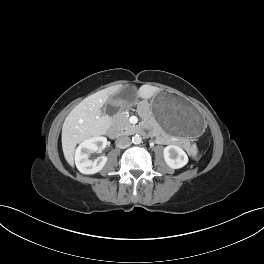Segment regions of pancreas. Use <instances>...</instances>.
<instances>
[{"label":"pancreas","instance_id":"pancreas-1","mask_svg":"<svg viewBox=\"0 0 264 264\" xmlns=\"http://www.w3.org/2000/svg\"><path fill=\"white\" fill-rule=\"evenodd\" d=\"M114 125L121 132L130 133L135 127L130 124L126 111L117 113L114 116Z\"/></svg>","mask_w":264,"mask_h":264}]
</instances>
